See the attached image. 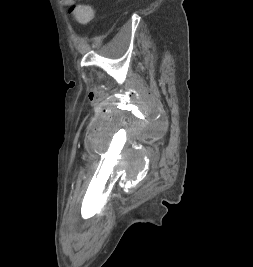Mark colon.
Wrapping results in <instances>:
<instances>
[{
  "label": "colon",
  "instance_id": "obj_1",
  "mask_svg": "<svg viewBox=\"0 0 253 267\" xmlns=\"http://www.w3.org/2000/svg\"><path fill=\"white\" fill-rule=\"evenodd\" d=\"M70 13L80 26H88L94 18V9L90 5L78 4L70 8Z\"/></svg>",
  "mask_w": 253,
  "mask_h": 267
}]
</instances>
